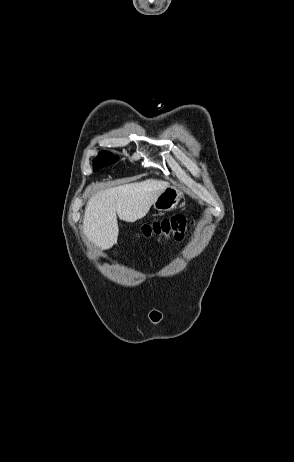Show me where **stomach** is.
<instances>
[{
	"mask_svg": "<svg viewBox=\"0 0 294 462\" xmlns=\"http://www.w3.org/2000/svg\"><path fill=\"white\" fill-rule=\"evenodd\" d=\"M181 198V192L173 187H166L153 203V208L159 212H168L176 208Z\"/></svg>",
	"mask_w": 294,
	"mask_h": 462,
	"instance_id": "stomach-1",
	"label": "stomach"
}]
</instances>
